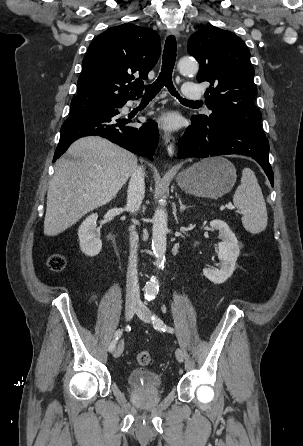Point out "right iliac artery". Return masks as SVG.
Returning a JSON list of instances; mask_svg holds the SVG:
<instances>
[{"instance_id": "obj_1", "label": "right iliac artery", "mask_w": 303, "mask_h": 446, "mask_svg": "<svg viewBox=\"0 0 303 446\" xmlns=\"http://www.w3.org/2000/svg\"><path fill=\"white\" fill-rule=\"evenodd\" d=\"M121 335H122V329H119L115 332L114 338L108 347V350L110 352H112L115 349L116 343H117L118 339L121 337Z\"/></svg>"}]
</instances>
